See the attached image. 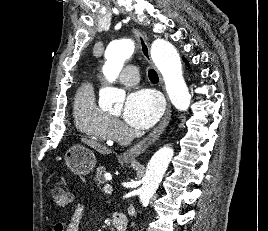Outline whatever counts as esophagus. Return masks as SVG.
<instances>
[{"label":"esophagus","mask_w":268,"mask_h":231,"mask_svg":"<svg viewBox=\"0 0 268 231\" xmlns=\"http://www.w3.org/2000/svg\"><path fill=\"white\" fill-rule=\"evenodd\" d=\"M133 33L137 38L138 45L141 49L143 56L150 64L153 65V62H152L151 56H150V49H149V44L147 42V39L136 29L133 30ZM171 115H172V108H171V103L168 99L165 114L162 117L159 124L142 141L133 145L131 148L127 149L123 153V159L129 160V161L135 160L139 154L143 153L156 140H158L159 137L162 135V133L165 131L166 127L168 126L170 119H171Z\"/></svg>","instance_id":"34e87169"}]
</instances>
